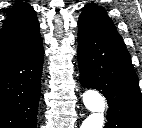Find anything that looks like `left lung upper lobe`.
I'll return each mask as SVG.
<instances>
[{"mask_svg": "<svg viewBox=\"0 0 142 128\" xmlns=\"http://www.w3.org/2000/svg\"><path fill=\"white\" fill-rule=\"evenodd\" d=\"M78 23L103 36L123 41L106 11L94 3L87 4L83 8Z\"/></svg>", "mask_w": 142, "mask_h": 128, "instance_id": "5c2ea615", "label": "left lung upper lobe"}]
</instances>
